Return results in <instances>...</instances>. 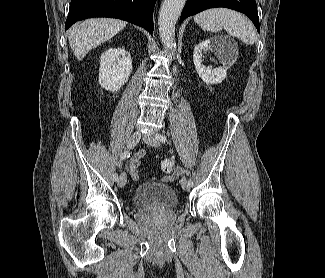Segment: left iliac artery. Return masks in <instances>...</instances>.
Returning <instances> with one entry per match:
<instances>
[{
	"mask_svg": "<svg viewBox=\"0 0 325 278\" xmlns=\"http://www.w3.org/2000/svg\"><path fill=\"white\" fill-rule=\"evenodd\" d=\"M156 138H157V140H159L160 142H165L166 140H167V138H166V136L165 135H162V134H158L157 136H156ZM189 185L190 186H193V181H192V179L190 178L189 179Z\"/></svg>",
	"mask_w": 325,
	"mask_h": 278,
	"instance_id": "obj_1",
	"label": "left iliac artery"
}]
</instances>
